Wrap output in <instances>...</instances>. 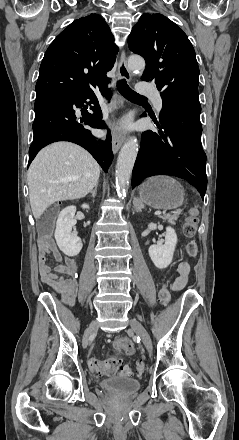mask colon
Segmentation results:
<instances>
[{
	"label": "colon",
	"mask_w": 239,
	"mask_h": 440,
	"mask_svg": "<svg viewBox=\"0 0 239 440\" xmlns=\"http://www.w3.org/2000/svg\"><path fill=\"white\" fill-rule=\"evenodd\" d=\"M197 217L198 211L196 208H191L188 211L187 217L183 225V232L186 237L192 238L197 232ZM46 234V230L43 231ZM43 243H48V239L44 237ZM189 256L194 257L197 254L198 247L194 240L189 241L186 247ZM159 298L164 305L170 304L171 295L168 290L167 284L162 285L159 291ZM114 347L118 352L130 353L132 351V344L126 337H118L115 340ZM89 369L96 374L100 375H113L116 373H129L128 368L122 365L121 360L118 357H111L106 360H100L97 358H91L88 361ZM145 370V364L139 360L136 365V372L142 374Z\"/></svg>",
	"instance_id": "1"
}]
</instances>
